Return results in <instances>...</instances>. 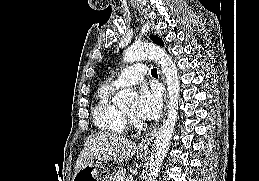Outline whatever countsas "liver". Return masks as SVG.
Returning <instances> with one entry per match:
<instances>
[{
  "instance_id": "1",
  "label": "liver",
  "mask_w": 259,
  "mask_h": 181,
  "mask_svg": "<svg viewBox=\"0 0 259 181\" xmlns=\"http://www.w3.org/2000/svg\"><path fill=\"white\" fill-rule=\"evenodd\" d=\"M136 151V145L126 137L110 132L89 136L75 165V174L86 164L97 161H127Z\"/></svg>"
}]
</instances>
